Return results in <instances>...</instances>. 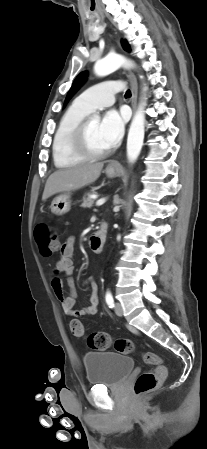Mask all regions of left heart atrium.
I'll return each instance as SVG.
<instances>
[{
  "mask_svg": "<svg viewBox=\"0 0 207 449\" xmlns=\"http://www.w3.org/2000/svg\"><path fill=\"white\" fill-rule=\"evenodd\" d=\"M126 121L127 115L123 111L111 110L104 115L99 130L109 148L120 141Z\"/></svg>",
  "mask_w": 207,
  "mask_h": 449,
  "instance_id": "left-heart-atrium-1",
  "label": "left heart atrium"
}]
</instances>
